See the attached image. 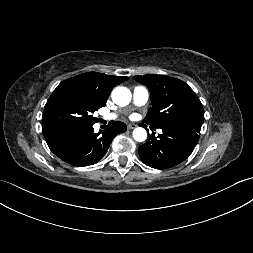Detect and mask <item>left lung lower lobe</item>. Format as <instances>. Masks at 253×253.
Returning a JSON list of instances; mask_svg holds the SVG:
<instances>
[{"instance_id": "0a47b994", "label": "left lung lower lobe", "mask_w": 253, "mask_h": 253, "mask_svg": "<svg viewBox=\"0 0 253 253\" xmlns=\"http://www.w3.org/2000/svg\"><path fill=\"white\" fill-rule=\"evenodd\" d=\"M158 137L149 135L139 147V156L144 164L156 169H167L186 160L193 152L201 126L161 127Z\"/></svg>"}]
</instances>
